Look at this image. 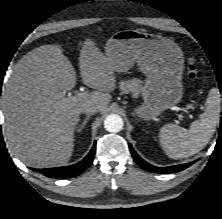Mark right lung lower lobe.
<instances>
[{
  "label": "right lung lower lobe",
  "instance_id": "98d812e1",
  "mask_svg": "<svg viewBox=\"0 0 222 219\" xmlns=\"http://www.w3.org/2000/svg\"><path fill=\"white\" fill-rule=\"evenodd\" d=\"M96 150V144L92 147L89 154L80 162L65 166V167H58V168H47V169H39V172L44 174L47 177H60V178H68L74 177L81 174L93 161L94 155ZM34 170L33 168H31Z\"/></svg>",
  "mask_w": 222,
  "mask_h": 219
}]
</instances>
